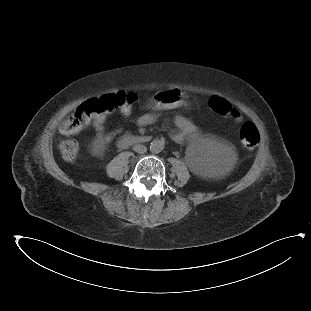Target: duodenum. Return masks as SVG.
Returning a JSON list of instances; mask_svg holds the SVG:
<instances>
[{
  "label": "duodenum",
  "mask_w": 311,
  "mask_h": 311,
  "mask_svg": "<svg viewBox=\"0 0 311 311\" xmlns=\"http://www.w3.org/2000/svg\"><path fill=\"white\" fill-rule=\"evenodd\" d=\"M150 137L139 135H124L120 138L118 145L120 147H128L133 145H144L150 142Z\"/></svg>",
  "instance_id": "410a0bca"
}]
</instances>
